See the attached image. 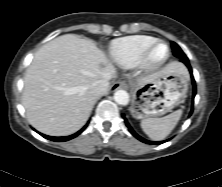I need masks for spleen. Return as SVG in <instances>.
<instances>
[{"label": "spleen", "instance_id": "3e777b00", "mask_svg": "<svg viewBox=\"0 0 222 187\" xmlns=\"http://www.w3.org/2000/svg\"><path fill=\"white\" fill-rule=\"evenodd\" d=\"M182 115V110L161 118H146L141 121V128L154 141L165 139L175 128Z\"/></svg>", "mask_w": 222, "mask_h": 187}]
</instances>
